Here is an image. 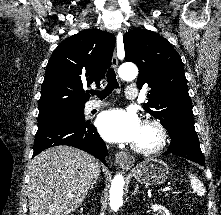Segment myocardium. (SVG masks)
<instances>
[{
	"mask_svg": "<svg viewBox=\"0 0 221 215\" xmlns=\"http://www.w3.org/2000/svg\"><path fill=\"white\" fill-rule=\"evenodd\" d=\"M143 127L152 128L156 134V141L153 145L150 146H142L134 143L132 148L137 153L143 155H152L159 151H161L167 144L168 141V132L165 126L157 119H145L142 122Z\"/></svg>",
	"mask_w": 221,
	"mask_h": 215,
	"instance_id": "myocardium-1",
	"label": "myocardium"
}]
</instances>
